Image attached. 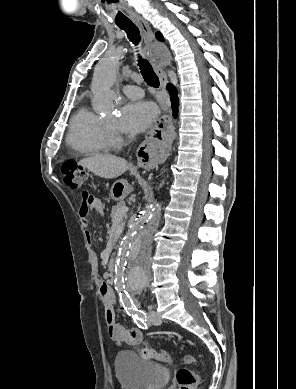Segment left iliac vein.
I'll use <instances>...</instances> for the list:
<instances>
[{
	"label": "left iliac vein",
	"instance_id": "1",
	"mask_svg": "<svg viewBox=\"0 0 296 389\" xmlns=\"http://www.w3.org/2000/svg\"><path fill=\"white\" fill-rule=\"evenodd\" d=\"M149 317H150L149 321H150V323L153 324V325H160V324L162 323L161 317H160L159 314H158L156 311H154V310H151V311L149 312Z\"/></svg>",
	"mask_w": 296,
	"mask_h": 389
}]
</instances>
